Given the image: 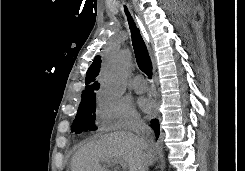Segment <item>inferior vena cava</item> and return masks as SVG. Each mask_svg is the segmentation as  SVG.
Segmentation results:
<instances>
[{"mask_svg":"<svg viewBox=\"0 0 245 171\" xmlns=\"http://www.w3.org/2000/svg\"><path fill=\"white\" fill-rule=\"evenodd\" d=\"M136 133L140 136V141L144 149L150 153L152 149V138H151V129L144 123H140L135 128ZM150 158V156H149ZM148 164H145L141 171H147Z\"/></svg>","mask_w":245,"mask_h":171,"instance_id":"inferior-vena-cava-1","label":"inferior vena cava"}]
</instances>
